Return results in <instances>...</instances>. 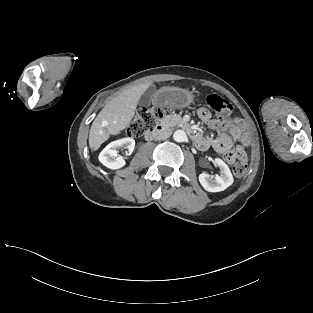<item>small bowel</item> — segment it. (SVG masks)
Listing matches in <instances>:
<instances>
[{"label":"small bowel","instance_id":"1","mask_svg":"<svg viewBox=\"0 0 313 313\" xmlns=\"http://www.w3.org/2000/svg\"><path fill=\"white\" fill-rule=\"evenodd\" d=\"M198 117L213 130L219 132L214 139H208L198 134L195 140L199 150L204 151L212 148L219 154L225 156L231 153L235 158H247L246 148L250 145L251 139L248 128L240 118L218 119L214 118L207 108L198 110ZM237 143L233 150L234 143Z\"/></svg>","mask_w":313,"mask_h":313}]
</instances>
